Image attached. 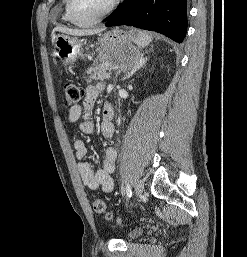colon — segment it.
<instances>
[{
    "mask_svg": "<svg viewBox=\"0 0 247 257\" xmlns=\"http://www.w3.org/2000/svg\"><path fill=\"white\" fill-rule=\"evenodd\" d=\"M63 102L67 107L76 106L82 98L83 91L80 87L72 82H65L62 85ZM93 210L100 215H103L107 220H112V214L107 211L105 202L100 197H95L92 200ZM117 224L122 225L124 222L121 219L116 220Z\"/></svg>",
    "mask_w": 247,
    "mask_h": 257,
    "instance_id": "colon-1",
    "label": "colon"
}]
</instances>
